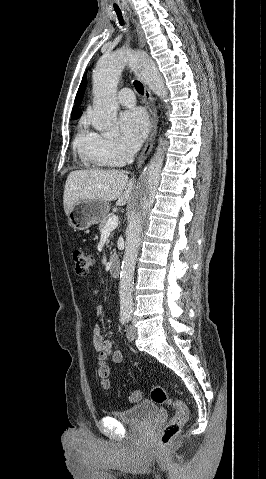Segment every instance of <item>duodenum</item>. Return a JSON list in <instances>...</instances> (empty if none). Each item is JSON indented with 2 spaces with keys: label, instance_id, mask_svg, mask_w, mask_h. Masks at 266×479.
Returning a JSON list of instances; mask_svg holds the SVG:
<instances>
[{
  "label": "duodenum",
  "instance_id": "obj_1",
  "mask_svg": "<svg viewBox=\"0 0 266 479\" xmlns=\"http://www.w3.org/2000/svg\"><path fill=\"white\" fill-rule=\"evenodd\" d=\"M110 276L117 278L120 274V260L117 254H111L109 258Z\"/></svg>",
  "mask_w": 266,
  "mask_h": 479
}]
</instances>
